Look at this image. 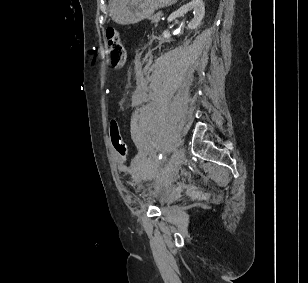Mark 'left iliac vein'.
Here are the masks:
<instances>
[{
    "instance_id": "obj_1",
    "label": "left iliac vein",
    "mask_w": 308,
    "mask_h": 283,
    "mask_svg": "<svg viewBox=\"0 0 308 283\" xmlns=\"http://www.w3.org/2000/svg\"><path fill=\"white\" fill-rule=\"evenodd\" d=\"M185 157V150L183 148H179L173 156L171 157V160L167 164L164 172L161 175V180L165 179L169 176V174L176 169L178 164L181 162V160Z\"/></svg>"
}]
</instances>
